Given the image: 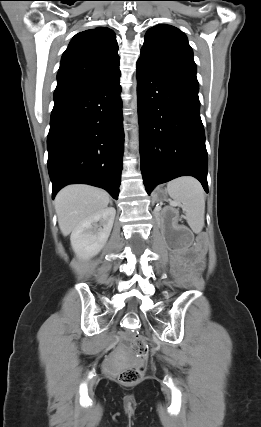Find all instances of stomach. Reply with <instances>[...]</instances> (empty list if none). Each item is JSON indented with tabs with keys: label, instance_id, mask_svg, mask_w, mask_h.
Segmentation results:
<instances>
[{
	"label": "stomach",
	"instance_id": "obj_1",
	"mask_svg": "<svg viewBox=\"0 0 261 427\" xmlns=\"http://www.w3.org/2000/svg\"><path fill=\"white\" fill-rule=\"evenodd\" d=\"M153 197H154L155 200H158V201L165 200V198H166V191L162 190V189H158L155 192V194H154Z\"/></svg>",
	"mask_w": 261,
	"mask_h": 427
}]
</instances>
